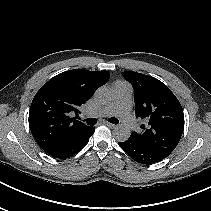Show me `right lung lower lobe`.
<instances>
[{
  "label": "right lung lower lobe",
  "mask_w": 211,
  "mask_h": 211,
  "mask_svg": "<svg viewBox=\"0 0 211 211\" xmlns=\"http://www.w3.org/2000/svg\"><path fill=\"white\" fill-rule=\"evenodd\" d=\"M94 131H95V128L90 127L83 134L75 137L74 139L70 140L61 148L48 154L51 157L59 158V159H66V158L72 157L88 143L89 138L93 135Z\"/></svg>",
  "instance_id": "98d812e1"
}]
</instances>
